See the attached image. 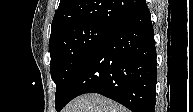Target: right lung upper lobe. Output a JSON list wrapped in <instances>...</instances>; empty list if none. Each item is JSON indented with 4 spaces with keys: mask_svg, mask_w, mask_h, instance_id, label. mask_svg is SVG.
I'll use <instances>...</instances> for the list:
<instances>
[{
    "mask_svg": "<svg viewBox=\"0 0 193 112\" xmlns=\"http://www.w3.org/2000/svg\"><path fill=\"white\" fill-rule=\"evenodd\" d=\"M147 6L145 0H61L54 15L51 37L77 24L114 28Z\"/></svg>",
    "mask_w": 193,
    "mask_h": 112,
    "instance_id": "1",
    "label": "right lung upper lobe"
}]
</instances>
